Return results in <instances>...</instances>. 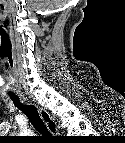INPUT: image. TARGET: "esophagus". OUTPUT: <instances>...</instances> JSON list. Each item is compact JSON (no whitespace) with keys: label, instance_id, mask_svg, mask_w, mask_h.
Wrapping results in <instances>:
<instances>
[{"label":"esophagus","instance_id":"esophagus-1","mask_svg":"<svg viewBox=\"0 0 125 143\" xmlns=\"http://www.w3.org/2000/svg\"><path fill=\"white\" fill-rule=\"evenodd\" d=\"M38 112L40 114L41 119L46 124L48 130L52 135H55L58 133V125L55 121V118L50 115L48 111H46L43 108H38Z\"/></svg>","mask_w":125,"mask_h":143}]
</instances>
